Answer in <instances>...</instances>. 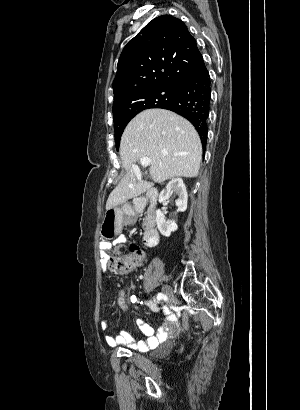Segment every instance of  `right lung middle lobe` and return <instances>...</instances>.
Here are the masks:
<instances>
[{
	"label": "right lung middle lobe",
	"instance_id": "1",
	"mask_svg": "<svg viewBox=\"0 0 300 410\" xmlns=\"http://www.w3.org/2000/svg\"><path fill=\"white\" fill-rule=\"evenodd\" d=\"M178 90L179 87L172 86L139 93L134 98V102L132 103L134 112L129 115H122L120 117L114 118L115 142L117 149L119 148L120 138L124 131V128L136 114L144 109L160 108L164 104L170 103V101L177 94Z\"/></svg>",
	"mask_w": 300,
	"mask_h": 410
}]
</instances>
